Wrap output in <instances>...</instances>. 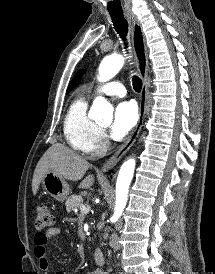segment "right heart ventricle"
<instances>
[{
    "label": "right heart ventricle",
    "mask_w": 215,
    "mask_h": 274,
    "mask_svg": "<svg viewBox=\"0 0 215 274\" xmlns=\"http://www.w3.org/2000/svg\"><path fill=\"white\" fill-rule=\"evenodd\" d=\"M88 102L83 97L75 98L64 118V136L71 148L89 153L91 141L98 130L97 124L88 116Z\"/></svg>",
    "instance_id": "1"
}]
</instances>
